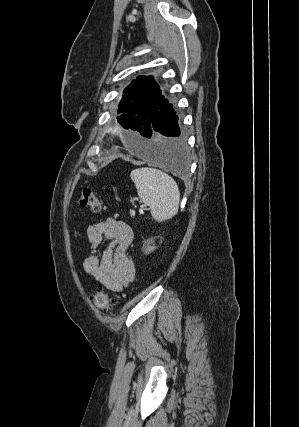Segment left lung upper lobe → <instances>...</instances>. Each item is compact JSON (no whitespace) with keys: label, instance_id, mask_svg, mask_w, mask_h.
I'll return each mask as SVG.
<instances>
[{"label":"left lung upper lobe","instance_id":"1","mask_svg":"<svg viewBox=\"0 0 299 427\" xmlns=\"http://www.w3.org/2000/svg\"><path fill=\"white\" fill-rule=\"evenodd\" d=\"M119 104L118 122L126 129H132L139 134L143 130L142 118L151 108L163 104L166 99L161 95L159 85L152 77L140 76L125 88ZM146 112V114H145ZM141 124V125H140Z\"/></svg>","mask_w":299,"mask_h":427}]
</instances>
